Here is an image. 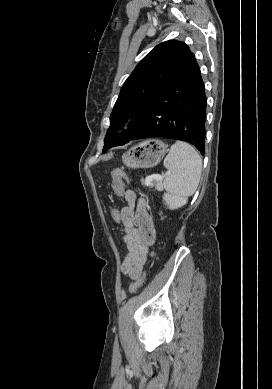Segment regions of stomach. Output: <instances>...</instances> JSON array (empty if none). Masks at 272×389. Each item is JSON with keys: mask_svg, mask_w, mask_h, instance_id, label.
<instances>
[{"mask_svg": "<svg viewBox=\"0 0 272 389\" xmlns=\"http://www.w3.org/2000/svg\"><path fill=\"white\" fill-rule=\"evenodd\" d=\"M167 152V145L159 139L143 141L122 157L124 165L129 168H151L157 165Z\"/></svg>", "mask_w": 272, "mask_h": 389, "instance_id": "obj_1", "label": "stomach"}]
</instances>
